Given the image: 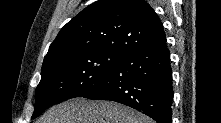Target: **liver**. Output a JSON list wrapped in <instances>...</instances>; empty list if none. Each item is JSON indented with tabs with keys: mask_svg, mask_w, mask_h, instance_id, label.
Masks as SVG:
<instances>
[{
	"mask_svg": "<svg viewBox=\"0 0 221 123\" xmlns=\"http://www.w3.org/2000/svg\"><path fill=\"white\" fill-rule=\"evenodd\" d=\"M37 123H153V121L118 103L76 98L52 107Z\"/></svg>",
	"mask_w": 221,
	"mask_h": 123,
	"instance_id": "1",
	"label": "liver"
}]
</instances>
